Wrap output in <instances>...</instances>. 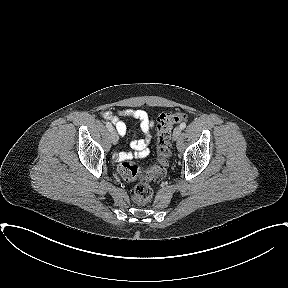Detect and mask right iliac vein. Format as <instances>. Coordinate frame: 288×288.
Here are the masks:
<instances>
[{"mask_svg":"<svg viewBox=\"0 0 288 288\" xmlns=\"http://www.w3.org/2000/svg\"><path fill=\"white\" fill-rule=\"evenodd\" d=\"M111 142L116 145L118 143V134L116 131L111 132Z\"/></svg>","mask_w":288,"mask_h":288,"instance_id":"1","label":"right iliac vein"}]
</instances>
